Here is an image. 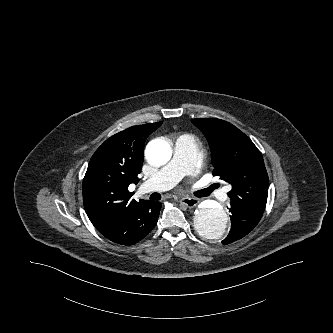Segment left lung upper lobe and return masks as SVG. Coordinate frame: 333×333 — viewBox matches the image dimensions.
I'll list each match as a JSON object with an SVG mask.
<instances>
[{
    "instance_id": "left-lung-upper-lobe-1",
    "label": "left lung upper lobe",
    "mask_w": 333,
    "mask_h": 333,
    "mask_svg": "<svg viewBox=\"0 0 333 333\" xmlns=\"http://www.w3.org/2000/svg\"><path fill=\"white\" fill-rule=\"evenodd\" d=\"M207 138L215 169L214 176L231 184L232 203L264 212L268 175L261 152L243 132L224 120L193 119Z\"/></svg>"
}]
</instances>
